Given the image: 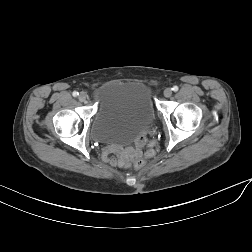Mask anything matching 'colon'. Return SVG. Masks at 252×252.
<instances>
[{
    "label": "colon",
    "instance_id": "obj_1",
    "mask_svg": "<svg viewBox=\"0 0 252 252\" xmlns=\"http://www.w3.org/2000/svg\"><path fill=\"white\" fill-rule=\"evenodd\" d=\"M133 164L136 168H141L146 164V159L145 157H141V156H136Z\"/></svg>",
    "mask_w": 252,
    "mask_h": 252
}]
</instances>
